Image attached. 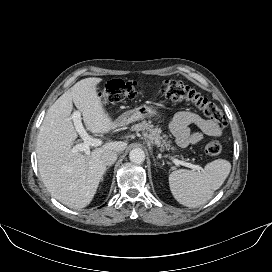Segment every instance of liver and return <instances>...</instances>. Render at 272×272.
Here are the masks:
<instances>
[{
    "label": "liver",
    "instance_id": "6515ba94",
    "mask_svg": "<svg viewBox=\"0 0 272 272\" xmlns=\"http://www.w3.org/2000/svg\"><path fill=\"white\" fill-rule=\"evenodd\" d=\"M101 78L78 81L48 109L37 137L39 173L51 195L67 207L81 209L92 201L106 166L101 155L106 150L122 152L127 143L114 141L94 149L89 155L72 153L78 134L72 123L73 103L83 116L88 131L108 133L119 127L106 113L97 85Z\"/></svg>",
    "mask_w": 272,
    "mask_h": 272
}]
</instances>
